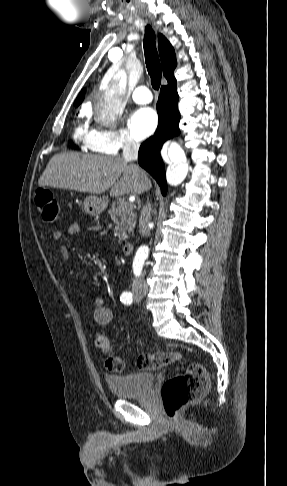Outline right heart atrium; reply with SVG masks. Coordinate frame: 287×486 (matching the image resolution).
Segmentation results:
<instances>
[{
  "instance_id": "obj_1",
  "label": "right heart atrium",
  "mask_w": 287,
  "mask_h": 486,
  "mask_svg": "<svg viewBox=\"0 0 287 486\" xmlns=\"http://www.w3.org/2000/svg\"><path fill=\"white\" fill-rule=\"evenodd\" d=\"M138 143L122 127L93 130L87 148L93 152L115 155L120 151L134 150Z\"/></svg>"
}]
</instances>
